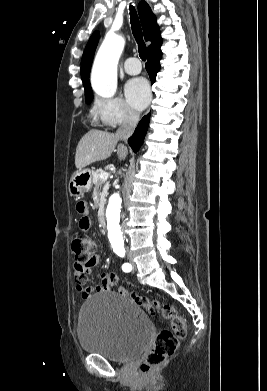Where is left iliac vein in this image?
<instances>
[{"label":"left iliac vein","instance_id":"left-iliac-vein-1","mask_svg":"<svg viewBox=\"0 0 267 391\" xmlns=\"http://www.w3.org/2000/svg\"><path fill=\"white\" fill-rule=\"evenodd\" d=\"M130 261H131V265H132V271L135 272V271H136V265H135V263L132 261L131 257H130Z\"/></svg>","mask_w":267,"mask_h":391}]
</instances>
